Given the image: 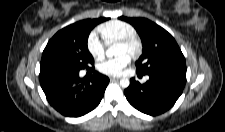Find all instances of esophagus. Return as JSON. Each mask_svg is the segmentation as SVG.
<instances>
[{"label": "esophagus", "mask_w": 225, "mask_h": 132, "mask_svg": "<svg viewBox=\"0 0 225 132\" xmlns=\"http://www.w3.org/2000/svg\"><path fill=\"white\" fill-rule=\"evenodd\" d=\"M120 78L116 77H110V81H118Z\"/></svg>", "instance_id": "34e87169"}]
</instances>
